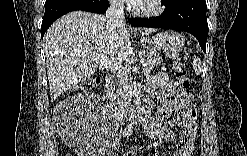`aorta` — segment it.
I'll list each match as a JSON object with an SVG mask.
<instances>
[{
  "instance_id": "762f6f07",
  "label": "aorta",
  "mask_w": 247,
  "mask_h": 156,
  "mask_svg": "<svg viewBox=\"0 0 247 156\" xmlns=\"http://www.w3.org/2000/svg\"><path fill=\"white\" fill-rule=\"evenodd\" d=\"M130 120H134L136 118V115H135V107L134 106H131L130 107Z\"/></svg>"
}]
</instances>
